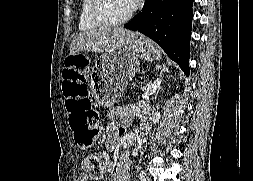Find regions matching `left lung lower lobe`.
I'll return each mask as SVG.
<instances>
[{
  "instance_id": "0a47b994",
  "label": "left lung lower lobe",
  "mask_w": 253,
  "mask_h": 181,
  "mask_svg": "<svg viewBox=\"0 0 253 181\" xmlns=\"http://www.w3.org/2000/svg\"><path fill=\"white\" fill-rule=\"evenodd\" d=\"M194 0H146L125 28L148 36L189 76L192 5Z\"/></svg>"
}]
</instances>
